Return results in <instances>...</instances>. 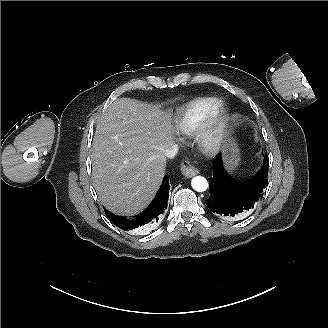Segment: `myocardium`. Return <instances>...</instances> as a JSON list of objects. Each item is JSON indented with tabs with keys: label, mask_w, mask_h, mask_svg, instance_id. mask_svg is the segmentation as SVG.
I'll return each mask as SVG.
<instances>
[{
	"label": "myocardium",
	"mask_w": 328,
	"mask_h": 328,
	"mask_svg": "<svg viewBox=\"0 0 328 328\" xmlns=\"http://www.w3.org/2000/svg\"><path fill=\"white\" fill-rule=\"evenodd\" d=\"M231 125V114L222 100L216 99L198 117L192 135L197 148L207 156L218 155L224 148Z\"/></svg>",
	"instance_id": "obj_1"
}]
</instances>
